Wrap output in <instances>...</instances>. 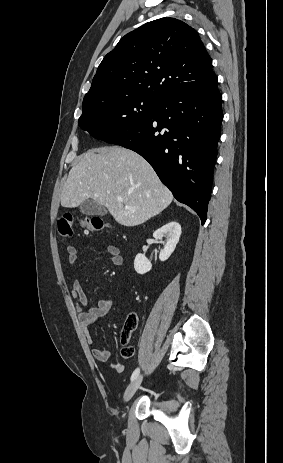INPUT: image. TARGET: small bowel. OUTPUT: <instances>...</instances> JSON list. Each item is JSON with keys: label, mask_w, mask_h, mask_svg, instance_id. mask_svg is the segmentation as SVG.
Masks as SVG:
<instances>
[{"label": "small bowel", "mask_w": 283, "mask_h": 463, "mask_svg": "<svg viewBox=\"0 0 283 463\" xmlns=\"http://www.w3.org/2000/svg\"><path fill=\"white\" fill-rule=\"evenodd\" d=\"M106 250L110 255L111 263L114 266H120L123 263V258L120 254V250L115 245H107ZM68 262L75 264L78 261L79 254L76 247L69 245L67 247ZM71 297L75 301L77 307L80 310V320L82 327L85 331L86 340L89 344H94V338L89 328L94 324L97 319L105 316L112 309L114 301L111 298L101 299L97 306L90 307L89 301L83 292L82 286L78 280H73L71 284ZM92 354L97 361L106 362L110 357V351L106 348L94 345L92 348ZM111 368L117 372L122 373L124 365L119 362H113L110 364Z\"/></svg>", "instance_id": "obj_1"}]
</instances>
